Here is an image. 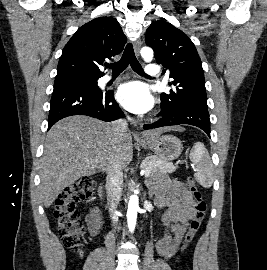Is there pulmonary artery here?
Returning <instances> with one entry per match:
<instances>
[{"label": "pulmonary artery", "instance_id": "1", "mask_svg": "<svg viewBox=\"0 0 267 270\" xmlns=\"http://www.w3.org/2000/svg\"><path fill=\"white\" fill-rule=\"evenodd\" d=\"M145 72H146V74H148V75H156V74L158 73V67H157V65H155V64H149V65L146 66ZM111 79H112L111 76H105V77L103 78V81H104V82H108V81H110Z\"/></svg>", "mask_w": 267, "mask_h": 270}]
</instances>
